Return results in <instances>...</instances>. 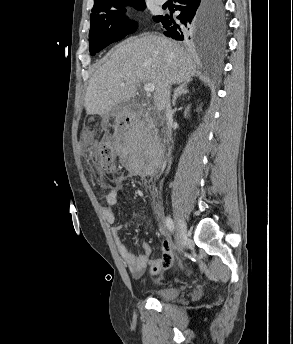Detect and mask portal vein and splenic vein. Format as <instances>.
I'll use <instances>...</instances> for the list:
<instances>
[{
    "mask_svg": "<svg viewBox=\"0 0 293 344\" xmlns=\"http://www.w3.org/2000/svg\"><path fill=\"white\" fill-rule=\"evenodd\" d=\"M144 90L146 91V93H151L155 90V86H154V84L147 83L144 85Z\"/></svg>",
    "mask_w": 293,
    "mask_h": 344,
    "instance_id": "1",
    "label": "portal vein and splenic vein"
}]
</instances>
